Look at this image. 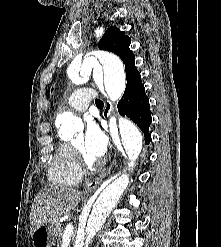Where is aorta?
<instances>
[{
  "label": "aorta",
  "mask_w": 221,
  "mask_h": 247,
  "mask_svg": "<svg viewBox=\"0 0 221 247\" xmlns=\"http://www.w3.org/2000/svg\"><path fill=\"white\" fill-rule=\"evenodd\" d=\"M92 69L95 75L100 76L101 79L104 77L108 95L112 100L117 101L122 96L126 86L121 61L115 56L95 51L81 61L73 62L68 67V74L74 78L87 77L91 74ZM57 119L60 123V133H66L68 139H72L83 128L82 121L71 112H63ZM119 131L122 147L129 158L130 171L141 153L143 138L138 128L128 119L119 120ZM128 185L129 174L124 172L99 194L84 228L83 239L78 242V247H89L90 241L115 208Z\"/></svg>",
  "instance_id": "1"
}]
</instances>
